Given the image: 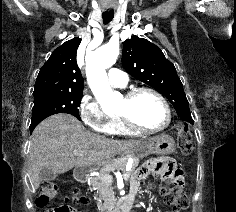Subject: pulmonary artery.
<instances>
[{
    "instance_id": "e3ab8cb5",
    "label": "pulmonary artery",
    "mask_w": 236,
    "mask_h": 212,
    "mask_svg": "<svg viewBox=\"0 0 236 212\" xmlns=\"http://www.w3.org/2000/svg\"><path fill=\"white\" fill-rule=\"evenodd\" d=\"M108 81L113 87H125L128 84V76L120 69L111 68L108 71Z\"/></svg>"
}]
</instances>
